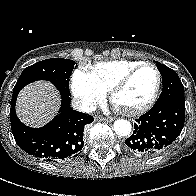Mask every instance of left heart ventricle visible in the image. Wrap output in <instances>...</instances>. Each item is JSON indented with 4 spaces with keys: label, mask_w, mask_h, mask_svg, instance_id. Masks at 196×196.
Returning a JSON list of instances; mask_svg holds the SVG:
<instances>
[{
    "label": "left heart ventricle",
    "mask_w": 196,
    "mask_h": 196,
    "mask_svg": "<svg viewBox=\"0 0 196 196\" xmlns=\"http://www.w3.org/2000/svg\"><path fill=\"white\" fill-rule=\"evenodd\" d=\"M157 82V74L152 68L138 71L130 82L117 94L116 104L130 109L145 103L152 95Z\"/></svg>",
    "instance_id": "1"
}]
</instances>
